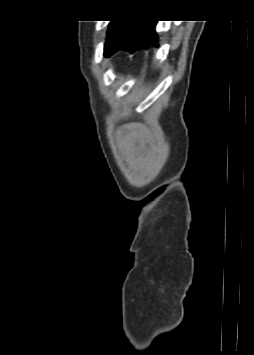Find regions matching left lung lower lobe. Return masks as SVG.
<instances>
[{"instance_id":"0a47b994","label":"left lung lower lobe","mask_w":254,"mask_h":355,"mask_svg":"<svg viewBox=\"0 0 254 355\" xmlns=\"http://www.w3.org/2000/svg\"><path fill=\"white\" fill-rule=\"evenodd\" d=\"M154 20H133L123 30L121 38L112 49V54L123 49L130 53L143 48L147 49L153 45L158 46V38L155 33Z\"/></svg>"}]
</instances>
